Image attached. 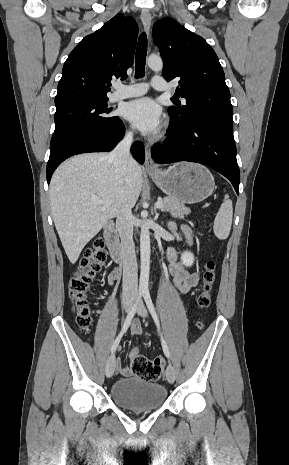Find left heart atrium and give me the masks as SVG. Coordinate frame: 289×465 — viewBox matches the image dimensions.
<instances>
[{
  "label": "left heart atrium",
  "mask_w": 289,
  "mask_h": 465,
  "mask_svg": "<svg viewBox=\"0 0 289 465\" xmlns=\"http://www.w3.org/2000/svg\"><path fill=\"white\" fill-rule=\"evenodd\" d=\"M124 117L145 134H154L161 125V110L151 98H140L129 102Z\"/></svg>",
  "instance_id": "1"
}]
</instances>
